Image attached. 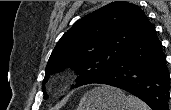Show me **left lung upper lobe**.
I'll use <instances>...</instances> for the list:
<instances>
[{
  "label": "left lung upper lobe",
  "instance_id": "5c2ea615",
  "mask_svg": "<svg viewBox=\"0 0 171 110\" xmlns=\"http://www.w3.org/2000/svg\"><path fill=\"white\" fill-rule=\"evenodd\" d=\"M149 23L139 6L124 1L110 3L79 19L52 51L43 83L49 75L68 67L79 75L73 87L97 82L145 34Z\"/></svg>",
  "mask_w": 171,
  "mask_h": 110
}]
</instances>
